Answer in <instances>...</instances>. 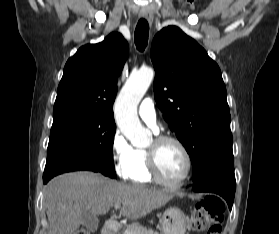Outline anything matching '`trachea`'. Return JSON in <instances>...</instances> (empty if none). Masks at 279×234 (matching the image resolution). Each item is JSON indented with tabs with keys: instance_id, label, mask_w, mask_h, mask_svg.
<instances>
[{
	"instance_id": "obj_1",
	"label": "trachea",
	"mask_w": 279,
	"mask_h": 234,
	"mask_svg": "<svg viewBox=\"0 0 279 234\" xmlns=\"http://www.w3.org/2000/svg\"><path fill=\"white\" fill-rule=\"evenodd\" d=\"M149 36V25L145 19H140L135 30V44L139 51H144Z\"/></svg>"
}]
</instances>
